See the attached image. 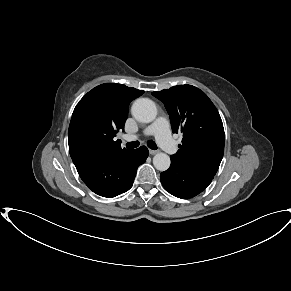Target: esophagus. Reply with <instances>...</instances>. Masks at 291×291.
Masks as SVG:
<instances>
[{"mask_svg": "<svg viewBox=\"0 0 291 291\" xmlns=\"http://www.w3.org/2000/svg\"><path fill=\"white\" fill-rule=\"evenodd\" d=\"M149 153L151 154V155H155L156 153H158V151L157 150H149Z\"/></svg>", "mask_w": 291, "mask_h": 291, "instance_id": "esophagus-1", "label": "esophagus"}]
</instances>
